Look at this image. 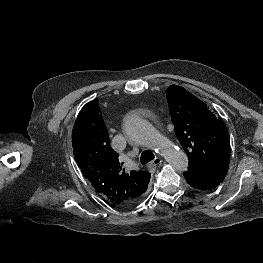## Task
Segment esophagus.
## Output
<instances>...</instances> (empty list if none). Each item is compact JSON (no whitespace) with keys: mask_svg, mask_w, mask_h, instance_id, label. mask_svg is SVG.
I'll list each match as a JSON object with an SVG mask.
<instances>
[{"mask_svg":"<svg viewBox=\"0 0 263 263\" xmlns=\"http://www.w3.org/2000/svg\"><path fill=\"white\" fill-rule=\"evenodd\" d=\"M161 162H162V160H161L159 157H156L153 161H151V162L147 165V167H148L149 169L155 168V167H157L158 165H160Z\"/></svg>","mask_w":263,"mask_h":263,"instance_id":"obj_1","label":"esophagus"}]
</instances>
